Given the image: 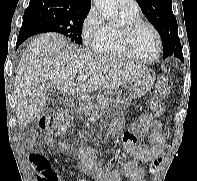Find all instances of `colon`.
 Masks as SVG:
<instances>
[{"label":"colon","mask_w":197,"mask_h":181,"mask_svg":"<svg viewBox=\"0 0 197 181\" xmlns=\"http://www.w3.org/2000/svg\"><path fill=\"white\" fill-rule=\"evenodd\" d=\"M171 88V79L170 76L167 74H162L158 77L155 92H154V99L152 102L153 110L156 114L161 115L164 112V101L168 96ZM69 115L67 114H59L54 117H50L46 120L45 126L46 129L49 130L51 133H60L69 124ZM143 123L146 124L150 121L149 117L143 118Z\"/></svg>","instance_id":"obj_1"}]
</instances>
